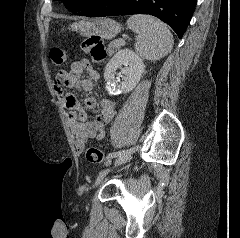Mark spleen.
<instances>
[{
	"instance_id": "obj_1",
	"label": "spleen",
	"mask_w": 240,
	"mask_h": 238,
	"mask_svg": "<svg viewBox=\"0 0 240 238\" xmlns=\"http://www.w3.org/2000/svg\"><path fill=\"white\" fill-rule=\"evenodd\" d=\"M128 27L138 35L136 52L145 59L159 60L173 48V36L159 19L149 15H133L127 20Z\"/></svg>"
}]
</instances>
